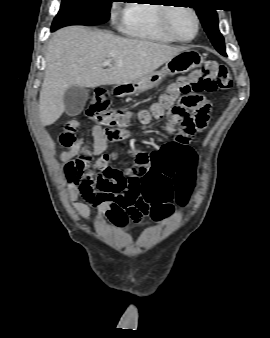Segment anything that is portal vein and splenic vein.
Segmentation results:
<instances>
[{
	"instance_id": "18ae733b",
	"label": "portal vein and splenic vein",
	"mask_w": 270,
	"mask_h": 338,
	"mask_svg": "<svg viewBox=\"0 0 270 338\" xmlns=\"http://www.w3.org/2000/svg\"><path fill=\"white\" fill-rule=\"evenodd\" d=\"M112 65V60L111 59H107L102 63V66H111Z\"/></svg>"
}]
</instances>
